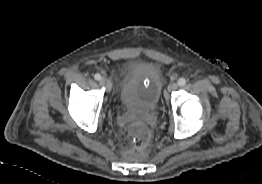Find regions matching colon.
I'll use <instances>...</instances> for the list:
<instances>
[{"label":"colon","instance_id":"obj_1","mask_svg":"<svg viewBox=\"0 0 262 184\" xmlns=\"http://www.w3.org/2000/svg\"><path fill=\"white\" fill-rule=\"evenodd\" d=\"M133 144L138 149L144 148L146 146V133H144L143 136H135L133 138Z\"/></svg>","mask_w":262,"mask_h":184}]
</instances>
